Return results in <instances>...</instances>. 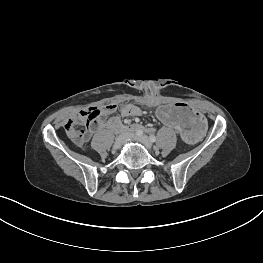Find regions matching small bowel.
<instances>
[{"instance_id":"obj_1","label":"small bowel","mask_w":263,"mask_h":263,"mask_svg":"<svg viewBox=\"0 0 263 263\" xmlns=\"http://www.w3.org/2000/svg\"><path fill=\"white\" fill-rule=\"evenodd\" d=\"M116 111L120 112V114L124 117L139 116L142 113V111L139 107L132 105V104L115 105V108L110 113H114ZM77 116H80V113Z\"/></svg>"}]
</instances>
